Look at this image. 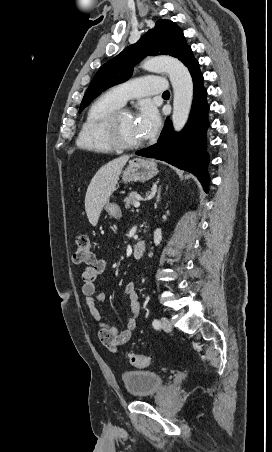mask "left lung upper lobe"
Masks as SVG:
<instances>
[{
	"label": "left lung upper lobe",
	"mask_w": 272,
	"mask_h": 452,
	"mask_svg": "<svg viewBox=\"0 0 272 452\" xmlns=\"http://www.w3.org/2000/svg\"><path fill=\"white\" fill-rule=\"evenodd\" d=\"M190 49L183 32L174 22L158 20L155 27L137 43L124 49L98 70L83 97L80 110L101 92L129 79L134 65L147 55H170L182 61Z\"/></svg>",
	"instance_id": "1"
}]
</instances>
